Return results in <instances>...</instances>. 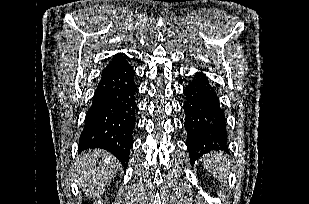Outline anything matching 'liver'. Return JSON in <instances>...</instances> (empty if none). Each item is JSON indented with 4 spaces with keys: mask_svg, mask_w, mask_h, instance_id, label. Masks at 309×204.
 <instances>
[{
    "mask_svg": "<svg viewBox=\"0 0 309 204\" xmlns=\"http://www.w3.org/2000/svg\"><path fill=\"white\" fill-rule=\"evenodd\" d=\"M118 169L116 157L99 149L85 151L75 166L78 182L89 199L98 197L104 191Z\"/></svg>",
    "mask_w": 309,
    "mask_h": 204,
    "instance_id": "6515ba94",
    "label": "liver"
}]
</instances>
